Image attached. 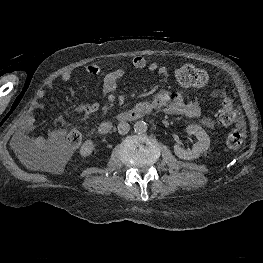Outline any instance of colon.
<instances>
[{
	"label": "colon",
	"mask_w": 263,
	"mask_h": 263,
	"mask_svg": "<svg viewBox=\"0 0 263 263\" xmlns=\"http://www.w3.org/2000/svg\"><path fill=\"white\" fill-rule=\"evenodd\" d=\"M175 78L177 82L184 87L202 88L208 84V73L192 64H183L176 68ZM237 114L236 106L232 99L224 97L221 106L217 112V122L222 126H228L233 123ZM243 134L238 130L229 132L225 142L230 149H239L243 144ZM66 141L69 147L77 148L82 142V134L77 129L68 132ZM50 157L55 164H62L65 161L66 150L55 148L51 150Z\"/></svg>",
	"instance_id": "obj_1"
}]
</instances>
